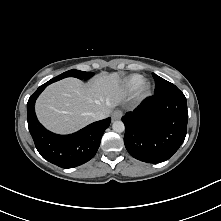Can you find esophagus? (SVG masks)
I'll use <instances>...</instances> for the list:
<instances>
[{"label":"esophagus","mask_w":221,"mask_h":221,"mask_svg":"<svg viewBox=\"0 0 221 221\" xmlns=\"http://www.w3.org/2000/svg\"><path fill=\"white\" fill-rule=\"evenodd\" d=\"M122 117V111L121 110H115L112 113V120H118Z\"/></svg>","instance_id":"esophagus-1"}]
</instances>
